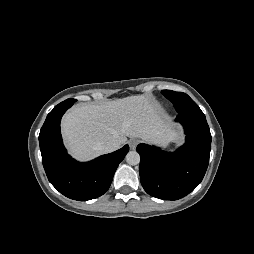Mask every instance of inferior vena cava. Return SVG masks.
<instances>
[{"mask_svg":"<svg viewBox=\"0 0 254 254\" xmlns=\"http://www.w3.org/2000/svg\"><path fill=\"white\" fill-rule=\"evenodd\" d=\"M120 143L116 140H112L110 142H108L104 147H103V151L105 153H110V152H113L117 149L120 148Z\"/></svg>","mask_w":254,"mask_h":254,"instance_id":"inferior-vena-cava-1","label":"inferior vena cava"}]
</instances>
